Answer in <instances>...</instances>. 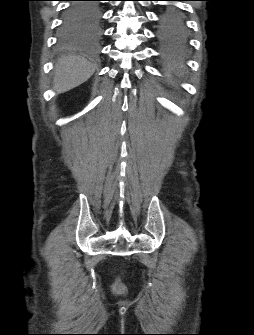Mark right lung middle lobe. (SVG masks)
I'll use <instances>...</instances> for the list:
<instances>
[{
	"instance_id": "dd1d6c3e",
	"label": "right lung middle lobe",
	"mask_w": 254,
	"mask_h": 335,
	"mask_svg": "<svg viewBox=\"0 0 254 335\" xmlns=\"http://www.w3.org/2000/svg\"><path fill=\"white\" fill-rule=\"evenodd\" d=\"M89 7L100 10L99 9V3L97 2H88L87 4ZM100 12V11H99ZM101 16V13H99ZM73 17L75 14H71ZM100 18V17H99ZM100 21V19H99ZM100 32V26L99 22L90 30H84L82 29L80 22L76 21L71 25L64 26L62 24L61 30H60V37L63 40H70L72 38H75L77 36H82V35H98Z\"/></svg>"
}]
</instances>
